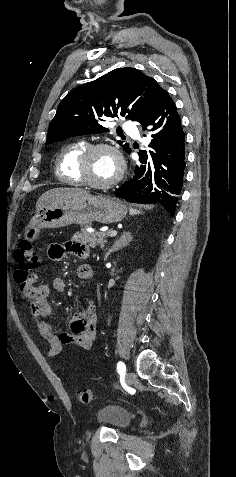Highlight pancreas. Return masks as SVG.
Returning a JSON list of instances; mask_svg holds the SVG:
<instances>
[{
  "label": "pancreas",
  "mask_w": 236,
  "mask_h": 477,
  "mask_svg": "<svg viewBox=\"0 0 236 477\" xmlns=\"http://www.w3.org/2000/svg\"><path fill=\"white\" fill-rule=\"evenodd\" d=\"M108 232H98V233H89L87 230L84 228L81 230V232H77L73 235L72 239L75 242L88 245L91 248H95L97 245H99L101 248L104 247V244L107 243L106 236L109 233Z\"/></svg>",
  "instance_id": "cf45deb5"
}]
</instances>
